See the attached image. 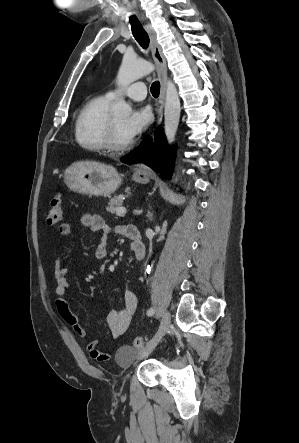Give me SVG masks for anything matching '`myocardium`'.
<instances>
[{"mask_svg":"<svg viewBox=\"0 0 299 443\" xmlns=\"http://www.w3.org/2000/svg\"><path fill=\"white\" fill-rule=\"evenodd\" d=\"M133 146V141L130 140L126 143H120L117 139V131L113 121L110 117L107 125L106 137H105V148L107 151L120 154L126 152Z\"/></svg>","mask_w":299,"mask_h":443,"instance_id":"myocardium-1","label":"myocardium"}]
</instances>
